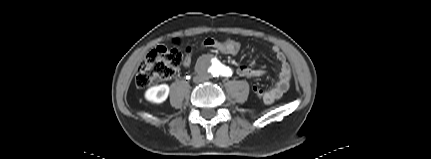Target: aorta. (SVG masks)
Wrapping results in <instances>:
<instances>
[{
  "instance_id": "762f6f07",
  "label": "aorta",
  "mask_w": 431,
  "mask_h": 159,
  "mask_svg": "<svg viewBox=\"0 0 431 159\" xmlns=\"http://www.w3.org/2000/svg\"><path fill=\"white\" fill-rule=\"evenodd\" d=\"M224 71L225 67L221 63H212L207 66V72L214 77L221 76Z\"/></svg>"
}]
</instances>
